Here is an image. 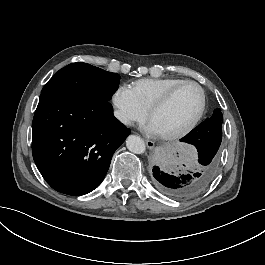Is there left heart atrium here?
Wrapping results in <instances>:
<instances>
[{"label": "left heart atrium", "mask_w": 265, "mask_h": 265, "mask_svg": "<svg viewBox=\"0 0 265 265\" xmlns=\"http://www.w3.org/2000/svg\"><path fill=\"white\" fill-rule=\"evenodd\" d=\"M146 130H147L149 133H151V134H153V135H155V136H159V133H158L156 127H155L154 124H153L152 122H150V121H149V123H148L147 126H146Z\"/></svg>", "instance_id": "1"}]
</instances>
